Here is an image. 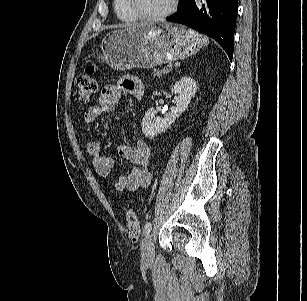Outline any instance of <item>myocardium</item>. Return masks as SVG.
I'll list each match as a JSON object with an SVG mask.
<instances>
[{
    "label": "myocardium",
    "mask_w": 307,
    "mask_h": 301,
    "mask_svg": "<svg viewBox=\"0 0 307 301\" xmlns=\"http://www.w3.org/2000/svg\"><path fill=\"white\" fill-rule=\"evenodd\" d=\"M127 1L133 14L138 19L144 21H159L169 17L177 10L179 3V0H172L170 6L165 11L158 14H145L139 9L136 0H127Z\"/></svg>",
    "instance_id": "1"
}]
</instances>
